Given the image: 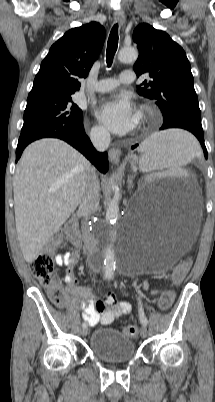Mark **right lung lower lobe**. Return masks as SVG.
I'll use <instances>...</instances> for the list:
<instances>
[{
	"label": "right lung lower lobe",
	"instance_id": "1",
	"mask_svg": "<svg viewBox=\"0 0 215 402\" xmlns=\"http://www.w3.org/2000/svg\"><path fill=\"white\" fill-rule=\"evenodd\" d=\"M45 137L59 138L66 141L74 148L79 150L87 159H89L98 168V170H100L102 173L107 172L109 166L108 155L106 152L99 153L95 150L90 139L88 138V136L84 131L83 124L74 128L63 129L61 131L44 134L38 137L37 139ZM28 144L17 146L16 161L19 160L24 148Z\"/></svg>",
	"mask_w": 215,
	"mask_h": 402
}]
</instances>
